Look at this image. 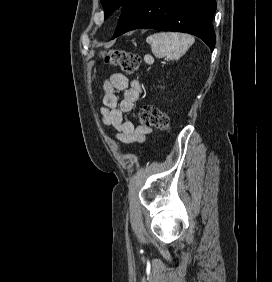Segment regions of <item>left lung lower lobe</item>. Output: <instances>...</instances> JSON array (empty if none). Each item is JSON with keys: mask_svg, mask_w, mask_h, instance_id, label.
<instances>
[{"mask_svg": "<svg viewBox=\"0 0 272 282\" xmlns=\"http://www.w3.org/2000/svg\"><path fill=\"white\" fill-rule=\"evenodd\" d=\"M215 10V0H126L113 39L138 28L177 31L198 36L213 50Z\"/></svg>", "mask_w": 272, "mask_h": 282, "instance_id": "1", "label": "left lung lower lobe"}]
</instances>
